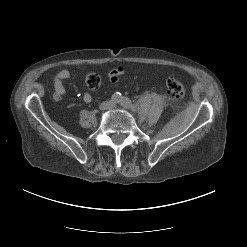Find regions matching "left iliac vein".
Returning <instances> with one entry per match:
<instances>
[{
  "mask_svg": "<svg viewBox=\"0 0 247 247\" xmlns=\"http://www.w3.org/2000/svg\"><path fill=\"white\" fill-rule=\"evenodd\" d=\"M111 108H115V105L114 104H111V106H110Z\"/></svg>",
  "mask_w": 247,
  "mask_h": 247,
  "instance_id": "left-iliac-vein-1",
  "label": "left iliac vein"
}]
</instances>
